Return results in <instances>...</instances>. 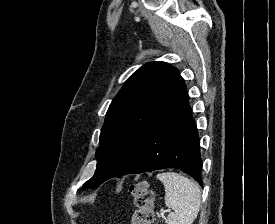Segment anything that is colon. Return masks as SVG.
Masks as SVG:
<instances>
[{"mask_svg":"<svg viewBox=\"0 0 275 224\" xmlns=\"http://www.w3.org/2000/svg\"><path fill=\"white\" fill-rule=\"evenodd\" d=\"M135 210L132 214L131 224H152L154 220L153 202L154 193L145 181L131 187Z\"/></svg>","mask_w":275,"mask_h":224,"instance_id":"5ec220e1","label":"colon"}]
</instances>
